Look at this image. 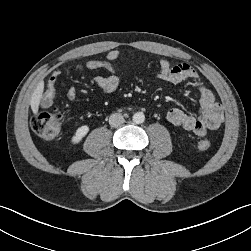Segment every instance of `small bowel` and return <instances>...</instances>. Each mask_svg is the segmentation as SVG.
Masks as SVG:
<instances>
[{"instance_id": "c3829d8e", "label": "small bowel", "mask_w": 251, "mask_h": 251, "mask_svg": "<svg viewBox=\"0 0 251 251\" xmlns=\"http://www.w3.org/2000/svg\"><path fill=\"white\" fill-rule=\"evenodd\" d=\"M119 57L117 50L108 52L104 60H89L85 65H78L79 71L85 69L95 71L105 69L111 74L109 76L97 75L94 77L96 85L104 92L111 93L120 85V78L116 74V68L113 62ZM61 71L55 70L47 79L46 89L41 97L40 106L42 108L52 105L55 99V92ZM157 77L166 82L180 83L191 81L200 93L201 114L198 117L190 115L181 109L172 108L167 112V120L175 125L191 131L196 136L203 137L209 130L219 128L223 122L224 116L222 107L215 101L213 93L200 81L199 75L195 69L188 64L171 65L166 59L159 61V71ZM68 99L74 101L77 97V90L71 87L67 93Z\"/></svg>"}]
</instances>
